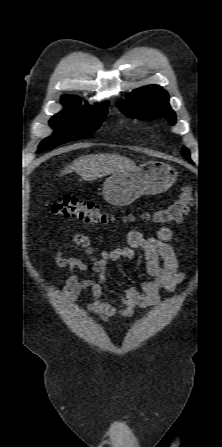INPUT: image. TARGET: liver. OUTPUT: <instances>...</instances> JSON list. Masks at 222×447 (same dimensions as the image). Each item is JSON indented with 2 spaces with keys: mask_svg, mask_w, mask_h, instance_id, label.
<instances>
[{
  "mask_svg": "<svg viewBox=\"0 0 222 447\" xmlns=\"http://www.w3.org/2000/svg\"><path fill=\"white\" fill-rule=\"evenodd\" d=\"M136 164L127 157L115 154L81 156L67 165L60 175L76 172L83 180L92 181L120 170H132Z\"/></svg>",
  "mask_w": 222,
  "mask_h": 447,
  "instance_id": "6515ba94",
  "label": "liver"
}]
</instances>
